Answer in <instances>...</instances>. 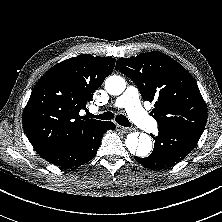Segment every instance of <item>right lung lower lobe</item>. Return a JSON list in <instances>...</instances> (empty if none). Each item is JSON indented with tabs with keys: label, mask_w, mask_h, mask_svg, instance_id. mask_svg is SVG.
<instances>
[{
	"label": "right lung lower lobe",
	"mask_w": 222,
	"mask_h": 222,
	"mask_svg": "<svg viewBox=\"0 0 222 222\" xmlns=\"http://www.w3.org/2000/svg\"><path fill=\"white\" fill-rule=\"evenodd\" d=\"M108 129L114 130L115 124L101 121L86 131L79 139L52 147L38 154L61 168H77L89 162L96 155L103 133Z\"/></svg>",
	"instance_id": "1"
}]
</instances>
